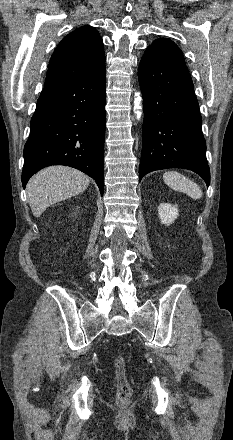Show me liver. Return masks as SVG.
<instances>
[{"label":"liver","mask_w":233,"mask_h":440,"mask_svg":"<svg viewBox=\"0 0 233 440\" xmlns=\"http://www.w3.org/2000/svg\"><path fill=\"white\" fill-rule=\"evenodd\" d=\"M90 179L66 166H51L36 173L26 191L32 213L39 217L50 205L76 196L87 189Z\"/></svg>","instance_id":"1"}]
</instances>
